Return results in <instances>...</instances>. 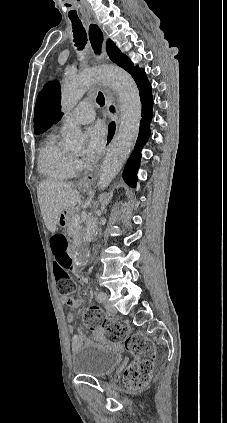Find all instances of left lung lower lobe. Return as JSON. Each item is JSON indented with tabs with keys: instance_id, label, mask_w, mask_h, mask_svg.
<instances>
[{
	"instance_id": "left-lung-lower-lobe-1",
	"label": "left lung lower lobe",
	"mask_w": 227,
	"mask_h": 423,
	"mask_svg": "<svg viewBox=\"0 0 227 423\" xmlns=\"http://www.w3.org/2000/svg\"><path fill=\"white\" fill-rule=\"evenodd\" d=\"M136 84L139 89L140 100L142 103V119L140 122L139 136L136 141L135 150L129 158L125 170L123 172V178L130 187H135L137 181L136 173L141 158V149L147 142L148 137L150 136L149 126L153 115V99L151 93V85L148 79L146 78V75H143L141 79L136 82Z\"/></svg>"
}]
</instances>
